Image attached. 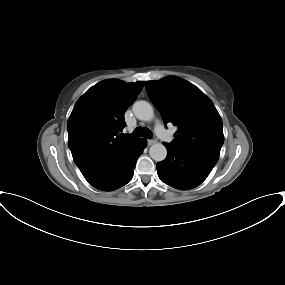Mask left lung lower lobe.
I'll list each match as a JSON object with an SVG mask.
<instances>
[{"mask_svg": "<svg viewBox=\"0 0 285 285\" xmlns=\"http://www.w3.org/2000/svg\"><path fill=\"white\" fill-rule=\"evenodd\" d=\"M163 144L168 153L165 160L157 163V172L171 187L188 190L200 185L216 164L214 160Z\"/></svg>", "mask_w": 285, "mask_h": 285, "instance_id": "obj_1", "label": "left lung lower lobe"}]
</instances>
